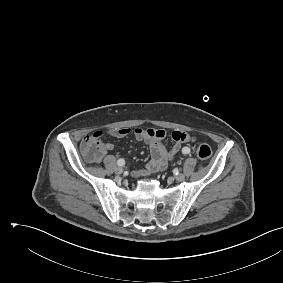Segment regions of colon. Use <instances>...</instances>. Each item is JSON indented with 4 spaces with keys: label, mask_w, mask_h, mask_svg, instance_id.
I'll use <instances>...</instances> for the list:
<instances>
[{
    "label": "colon",
    "mask_w": 283,
    "mask_h": 283,
    "mask_svg": "<svg viewBox=\"0 0 283 283\" xmlns=\"http://www.w3.org/2000/svg\"><path fill=\"white\" fill-rule=\"evenodd\" d=\"M105 135L103 131H97L90 136H86L81 143V149L85 157L90 162H97L103 155V145L101 138ZM212 154L211 147L208 144H200L197 148V156L201 160H207Z\"/></svg>",
    "instance_id": "5ec220e1"
}]
</instances>
